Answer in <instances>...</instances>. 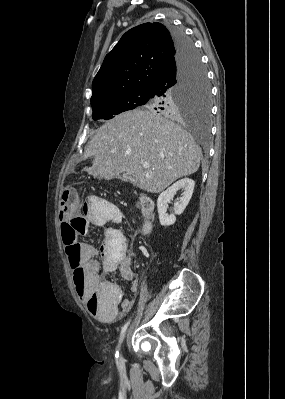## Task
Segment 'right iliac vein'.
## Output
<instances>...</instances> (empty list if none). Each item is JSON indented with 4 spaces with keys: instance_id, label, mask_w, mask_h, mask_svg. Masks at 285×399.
Returning <instances> with one entry per match:
<instances>
[{
    "instance_id": "obj_1",
    "label": "right iliac vein",
    "mask_w": 285,
    "mask_h": 399,
    "mask_svg": "<svg viewBox=\"0 0 285 399\" xmlns=\"http://www.w3.org/2000/svg\"><path fill=\"white\" fill-rule=\"evenodd\" d=\"M124 339H125V333H123L121 338H120V350H121V347H122Z\"/></svg>"
}]
</instances>
